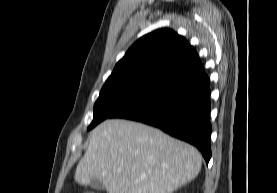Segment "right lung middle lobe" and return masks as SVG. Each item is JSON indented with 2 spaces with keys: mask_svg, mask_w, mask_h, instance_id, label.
Listing matches in <instances>:
<instances>
[{
  "mask_svg": "<svg viewBox=\"0 0 277 193\" xmlns=\"http://www.w3.org/2000/svg\"><path fill=\"white\" fill-rule=\"evenodd\" d=\"M152 91L132 88L102 89L94 105L93 121L88 130L107 118H112L124 109L150 94Z\"/></svg>",
  "mask_w": 277,
  "mask_h": 193,
  "instance_id": "dd1d6c3e",
  "label": "right lung middle lobe"
}]
</instances>
